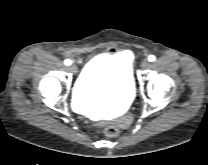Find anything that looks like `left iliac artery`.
<instances>
[{"mask_svg": "<svg viewBox=\"0 0 208 165\" xmlns=\"http://www.w3.org/2000/svg\"><path fill=\"white\" fill-rule=\"evenodd\" d=\"M148 59L149 61L152 62V61H155L156 57L154 55H150Z\"/></svg>", "mask_w": 208, "mask_h": 165, "instance_id": "44dca946", "label": "left iliac artery"}]
</instances>
